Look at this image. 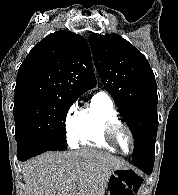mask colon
<instances>
[{
  "label": "colon",
  "instance_id": "5ec220e1",
  "mask_svg": "<svg viewBox=\"0 0 178 195\" xmlns=\"http://www.w3.org/2000/svg\"><path fill=\"white\" fill-rule=\"evenodd\" d=\"M142 180H138L134 185H133V192L132 194L134 195V192L138 190L139 186L141 185Z\"/></svg>",
  "mask_w": 178,
  "mask_h": 195
}]
</instances>
